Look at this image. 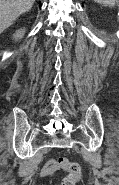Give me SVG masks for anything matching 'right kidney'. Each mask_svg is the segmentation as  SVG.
Here are the masks:
<instances>
[{"label": "right kidney", "mask_w": 119, "mask_h": 185, "mask_svg": "<svg viewBox=\"0 0 119 185\" xmlns=\"http://www.w3.org/2000/svg\"><path fill=\"white\" fill-rule=\"evenodd\" d=\"M24 34H25V29L24 28L23 29H19L13 35V39L19 40V39L23 38Z\"/></svg>", "instance_id": "obj_1"}]
</instances>
